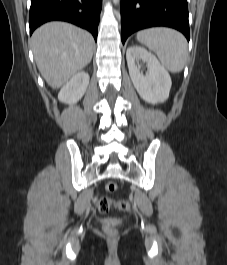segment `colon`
Returning a JSON list of instances; mask_svg holds the SVG:
<instances>
[{"mask_svg": "<svg viewBox=\"0 0 227 265\" xmlns=\"http://www.w3.org/2000/svg\"><path fill=\"white\" fill-rule=\"evenodd\" d=\"M105 188L108 192L113 193L117 190V185L115 182L109 181L106 183ZM112 206H115L119 211L124 213L130 211V203L127 200H122L118 203H113L112 200H110L109 198L101 197L97 201L98 210L102 213L108 212ZM104 231L111 236L115 234V230L109 226H105Z\"/></svg>", "mask_w": 227, "mask_h": 265, "instance_id": "5ec220e1", "label": "colon"}]
</instances>
